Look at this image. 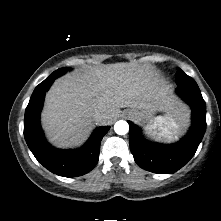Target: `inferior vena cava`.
I'll list each match as a JSON object with an SVG mask.
<instances>
[{"label":"inferior vena cava","mask_w":221,"mask_h":221,"mask_svg":"<svg viewBox=\"0 0 221 221\" xmlns=\"http://www.w3.org/2000/svg\"><path fill=\"white\" fill-rule=\"evenodd\" d=\"M105 118H106V114H104V113L96 112V113L93 115V119H94L96 122H101V121H103Z\"/></svg>","instance_id":"inferior-vena-cava-1"}]
</instances>
